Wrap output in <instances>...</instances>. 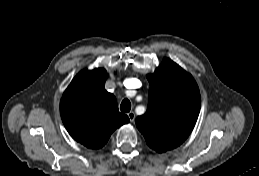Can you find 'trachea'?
<instances>
[{
  "label": "trachea",
  "mask_w": 259,
  "mask_h": 176,
  "mask_svg": "<svg viewBox=\"0 0 259 176\" xmlns=\"http://www.w3.org/2000/svg\"><path fill=\"white\" fill-rule=\"evenodd\" d=\"M120 110L122 112H129L131 110V103H130V101L128 99H124L121 102Z\"/></svg>",
  "instance_id": "1"
}]
</instances>
